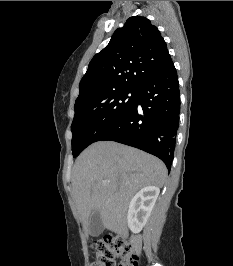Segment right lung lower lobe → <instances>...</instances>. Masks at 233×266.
Returning a JSON list of instances; mask_svg holds the SVG:
<instances>
[{
  "mask_svg": "<svg viewBox=\"0 0 233 266\" xmlns=\"http://www.w3.org/2000/svg\"><path fill=\"white\" fill-rule=\"evenodd\" d=\"M179 83L173 62L145 81L132 106L97 141L111 140L160 158L168 169L179 124Z\"/></svg>",
  "mask_w": 233,
  "mask_h": 266,
  "instance_id": "right-lung-lower-lobe-1",
  "label": "right lung lower lobe"
}]
</instances>
